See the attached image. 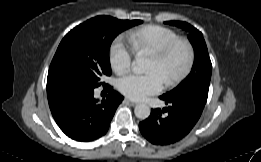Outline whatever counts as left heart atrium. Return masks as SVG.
Wrapping results in <instances>:
<instances>
[{
	"label": "left heart atrium",
	"instance_id": "obj_1",
	"mask_svg": "<svg viewBox=\"0 0 261 162\" xmlns=\"http://www.w3.org/2000/svg\"><path fill=\"white\" fill-rule=\"evenodd\" d=\"M165 80L157 70L144 74L130 73L117 80L118 90L125 96L142 100L147 96L159 93L164 87Z\"/></svg>",
	"mask_w": 261,
	"mask_h": 162
}]
</instances>
